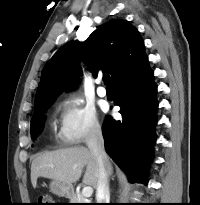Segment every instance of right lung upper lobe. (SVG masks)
Listing matches in <instances>:
<instances>
[{
  "label": "right lung upper lobe",
  "mask_w": 200,
  "mask_h": 205,
  "mask_svg": "<svg viewBox=\"0 0 200 205\" xmlns=\"http://www.w3.org/2000/svg\"><path fill=\"white\" fill-rule=\"evenodd\" d=\"M81 55L94 77L110 73L114 84L148 59L139 32L127 20L100 25L85 42L67 43L47 62L35 97V113L42 102L77 86Z\"/></svg>",
  "instance_id": "right-lung-upper-lobe-1"
}]
</instances>
